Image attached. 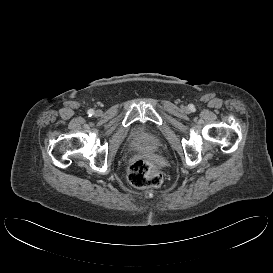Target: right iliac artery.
Listing matches in <instances>:
<instances>
[{"label": "right iliac artery", "mask_w": 273, "mask_h": 273, "mask_svg": "<svg viewBox=\"0 0 273 273\" xmlns=\"http://www.w3.org/2000/svg\"><path fill=\"white\" fill-rule=\"evenodd\" d=\"M93 114H94V110H93V109H89V110H88V115H89V116H92Z\"/></svg>", "instance_id": "1"}]
</instances>
